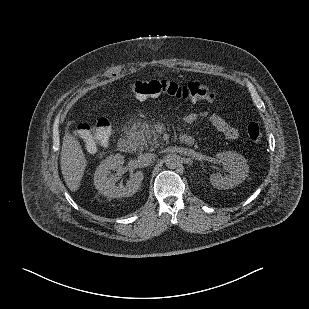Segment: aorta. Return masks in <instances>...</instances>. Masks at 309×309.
I'll use <instances>...</instances> for the list:
<instances>
[{
    "label": "aorta",
    "mask_w": 309,
    "mask_h": 309,
    "mask_svg": "<svg viewBox=\"0 0 309 309\" xmlns=\"http://www.w3.org/2000/svg\"><path fill=\"white\" fill-rule=\"evenodd\" d=\"M164 162L167 168L176 169L181 163V158L177 154H168L165 157Z\"/></svg>",
    "instance_id": "obj_1"
}]
</instances>
